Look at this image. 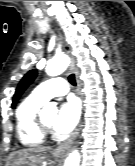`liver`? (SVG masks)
<instances>
[{
	"instance_id": "liver-1",
	"label": "liver",
	"mask_w": 135,
	"mask_h": 166,
	"mask_svg": "<svg viewBox=\"0 0 135 166\" xmlns=\"http://www.w3.org/2000/svg\"><path fill=\"white\" fill-rule=\"evenodd\" d=\"M50 150L47 147H34V148H27L22 149L16 152H13L9 155L8 160H10L14 155L22 156V163L27 165L29 160H31L35 165L44 166L45 159H46V152Z\"/></svg>"
}]
</instances>
